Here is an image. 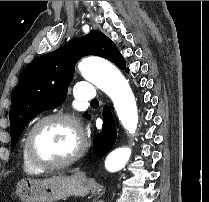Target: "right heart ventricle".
Instances as JSON below:
<instances>
[{
	"instance_id": "e07e8e85",
	"label": "right heart ventricle",
	"mask_w": 209,
	"mask_h": 202,
	"mask_svg": "<svg viewBox=\"0 0 209 202\" xmlns=\"http://www.w3.org/2000/svg\"><path fill=\"white\" fill-rule=\"evenodd\" d=\"M25 139L26 136H24V140L22 143V148H21V160H22V166L25 172L27 173H32V174H37L39 173L41 170L37 169L36 167H34L27 159L25 152H24V144H25Z\"/></svg>"
}]
</instances>
